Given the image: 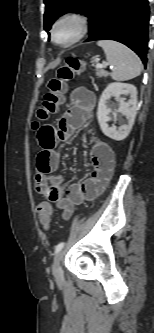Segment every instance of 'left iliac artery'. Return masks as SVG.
<instances>
[{
    "instance_id": "44dca946",
    "label": "left iliac artery",
    "mask_w": 154,
    "mask_h": 333,
    "mask_svg": "<svg viewBox=\"0 0 154 333\" xmlns=\"http://www.w3.org/2000/svg\"><path fill=\"white\" fill-rule=\"evenodd\" d=\"M65 242H60L58 245H56L55 247V254H57L58 252H60L62 250V248L64 247Z\"/></svg>"
}]
</instances>
